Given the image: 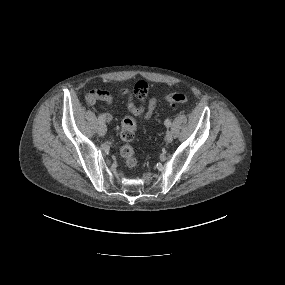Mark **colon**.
<instances>
[{
    "label": "colon",
    "instance_id": "obj_1",
    "mask_svg": "<svg viewBox=\"0 0 285 285\" xmlns=\"http://www.w3.org/2000/svg\"><path fill=\"white\" fill-rule=\"evenodd\" d=\"M147 86L145 81L140 80L136 83L134 90L136 93H139L144 91ZM166 100L172 105H184L189 101L188 96L183 92H173L166 96ZM136 129L137 121L134 117L126 116L122 119L120 127V138L122 141L120 153L126 166L130 168L135 167L137 164V157L132 144Z\"/></svg>",
    "mask_w": 285,
    "mask_h": 285
}]
</instances>
